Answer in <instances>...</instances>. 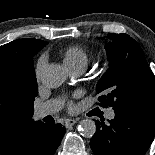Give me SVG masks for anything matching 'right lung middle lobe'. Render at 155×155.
<instances>
[{
	"instance_id": "1",
	"label": "right lung middle lobe",
	"mask_w": 155,
	"mask_h": 155,
	"mask_svg": "<svg viewBox=\"0 0 155 155\" xmlns=\"http://www.w3.org/2000/svg\"><path fill=\"white\" fill-rule=\"evenodd\" d=\"M38 95L32 57L17 62L0 75V142L16 141L32 118Z\"/></svg>"
}]
</instances>
